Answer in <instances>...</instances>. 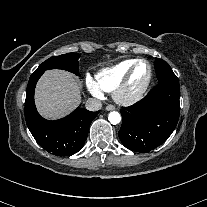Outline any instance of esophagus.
Wrapping results in <instances>:
<instances>
[{"label":"esophagus","mask_w":207,"mask_h":207,"mask_svg":"<svg viewBox=\"0 0 207 207\" xmlns=\"http://www.w3.org/2000/svg\"><path fill=\"white\" fill-rule=\"evenodd\" d=\"M106 110H107V111H112V110H115V107H114L113 105H108V106L106 107Z\"/></svg>","instance_id":"esophagus-1"}]
</instances>
